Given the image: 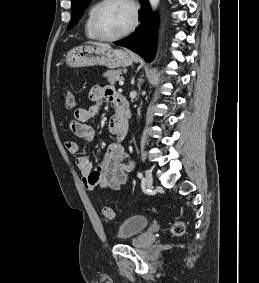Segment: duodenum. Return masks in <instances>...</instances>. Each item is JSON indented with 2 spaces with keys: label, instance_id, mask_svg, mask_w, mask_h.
Instances as JSON below:
<instances>
[{
  "label": "duodenum",
  "instance_id": "1",
  "mask_svg": "<svg viewBox=\"0 0 259 283\" xmlns=\"http://www.w3.org/2000/svg\"><path fill=\"white\" fill-rule=\"evenodd\" d=\"M128 120L129 113L127 103L122 96H119L116 101V122L120 127H126Z\"/></svg>",
  "mask_w": 259,
  "mask_h": 283
}]
</instances>
